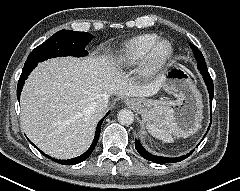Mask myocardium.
Instances as JSON below:
<instances>
[{"mask_svg":"<svg viewBox=\"0 0 240 191\" xmlns=\"http://www.w3.org/2000/svg\"><path fill=\"white\" fill-rule=\"evenodd\" d=\"M163 46L165 47V50L160 52V49ZM173 51V45L168 39H157L142 59L139 69L140 74L143 76H152L158 73L170 60Z\"/></svg>","mask_w":240,"mask_h":191,"instance_id":"f54148a6","label":"myocardium"}]
</instances>
